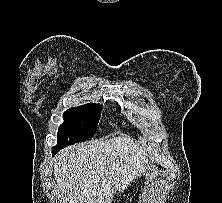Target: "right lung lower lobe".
<instances>
[{
    "label": "right lung lower lobe",
    "mask_w": 222,
    "mask_h": 203,
    "mask_svg": "<svg viewBox=\"0 0 222 203\" xmlns=\"http://www.w3.org/2000/svg\"><path fill=\"white\" fill-rule=\"evenodd\" d=\"M59 150H60L59 148L53 147V151H52L53 155H54L56 152H58Z\"/></svg>",
    "instance_id": "98d812e1"
}]
</instances>
